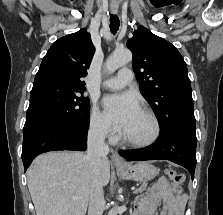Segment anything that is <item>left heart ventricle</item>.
I'll use <instances>...</instances> for the list:
<instances>
[{"label": "left heart ventricle", "instance_id": "1", "mask_svg": "<svg viewBox=\"0 0 223 215\" xmlns=\"http://www.w3.org/2000/svg\"><path fill=\"white\" fill-rule=\"evenodd\" d=\"M152 133V124L149 118L140 110L132 118L130 123L122 129L124 138L143 141L150 137Z\"/></svg>", "mask_w": 223, "mask_h": 215}]
</instances>
